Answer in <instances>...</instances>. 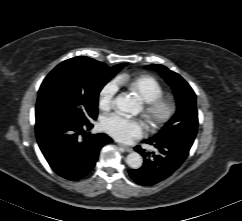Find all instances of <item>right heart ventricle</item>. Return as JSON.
Returning a JSON list of instances; mask_svg holds the SVG:
<instances>
[{
    "instance_id": "obj_1",
    "label": "right heart ventricle",
    "mask_w": 242,
    "mask_h": 221,
    "mask_svg": "<svg viewBox=\"0 0 242 221\" xmlns=\"http://www.w3.org/2000/svg\"><path fill=\"white\" fill-rule=\"evenodd\" d=\"M116 83L126 86L143 101H149L163 94L161 84L150 75L129 76L122 74L116 78Z\"/></svg>"
}]
</instances>
